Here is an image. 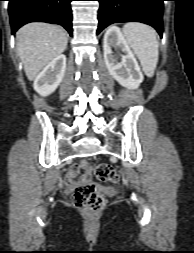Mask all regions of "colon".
<instances>
[{"label":"colon","instance_id":"obj_1","mask_svg":"<svg viewBox=\"0 0 194 253\" xmlns=\"http://www.w3.org/2000/svg\"><path fill=\"white\" fill-rule=\"evenodd\" d=\"M81 166L86 169L87 175L94 174L100 181L117 183L119 180L117 171L108 164L89 166L86 162H82ZM72 198L76 208L89 212L103 209L106 203L104 195L91 184L75 188Z\"/></svg>","mask_w":194,"mask_h":253}]
</instances>
